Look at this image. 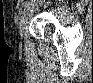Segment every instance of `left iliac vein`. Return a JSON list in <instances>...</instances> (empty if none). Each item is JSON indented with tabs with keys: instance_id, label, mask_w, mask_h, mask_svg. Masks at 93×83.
Wrapping results in <instances>:
<instances>
[{
	"instance_id": "1",
	"label": "left iliac vein",
	"mask_w": 93,
	"mask_h": 83,
	"mask_svg": "<svg viewBox=\"0 0 93 83\" xmlns=\"http://www.w3.org/2000/svg\"><path fill=\"white\" fill-rule=\"evenodd\" d=\"M33 13L32 9H28L26 12H24V14L22 15L21 19H20V23H19V31L20 34L23 35V31L24 28L28 22L29 17L31 16V14Z\"/></svg>"
}]
</instances>
